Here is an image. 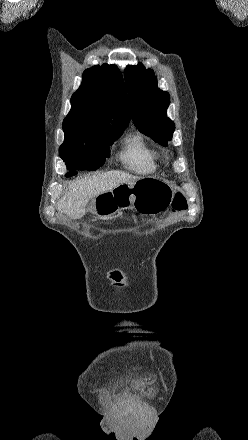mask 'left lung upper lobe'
<instances>
[{
	"mask_svg": "<svg viewBox=\"0 0 248 440\" xmlns=\"http://www.w3.org/2000/svg\"><path fill=\"white\" fill-rule=\"evenodd\" d=\"M124 76L135 126L155 142L167 146L175 130L174 122L166 115L169 94L157 87L154 71L141 63L128 66Z\"/></svg>",
	"mask_w": 248,
	"mask_h": 440,
	"instance_id": "1",
	"label": "left lung upper lobe"
}]
</instances>
